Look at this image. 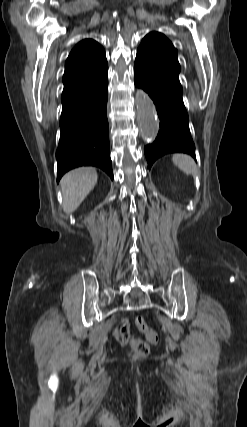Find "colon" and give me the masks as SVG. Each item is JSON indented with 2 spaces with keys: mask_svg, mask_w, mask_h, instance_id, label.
I'll list each match as a JSON object with an SVG mask.
<instances>
[{
  "mask_svg": "<svg viewBox=\"0 0 247 427\" xmlns=\"http://www.w3.org/2000/svg\"><path fill=\"white\" fill-rule=\"evenodd\" d=\"M136 326L144 335L146 341L134 339L130 341V346L137 356H146L150 352L149 344H156L158 342V333L148 327L142 317L136 319Z\"/></svg>",
  "mask_w": 247,
  "mask_h": 427,
  "instance_id": "colon-1",
  "label": "colon"
}]
</instances>
